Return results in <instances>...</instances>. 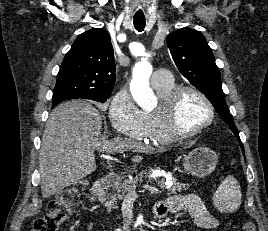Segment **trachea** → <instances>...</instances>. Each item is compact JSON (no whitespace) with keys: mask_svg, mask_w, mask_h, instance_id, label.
Here are the masks:
<instances>
[{"mask_svg":"<svg viewBox=\"0 0 268 231\" xmlns=\"http://www.w3.org/2000/svg\"><path fill=\"white\" fill-rule=\"evenodd\" d=\"M134 27L138 32H141L145 28L146 21L145 19H140V18H134Z\"/></svg>","mask_w":268,"mask_h":231,"instance_id":"3493384b","label":"trachea"}]
</instances>
